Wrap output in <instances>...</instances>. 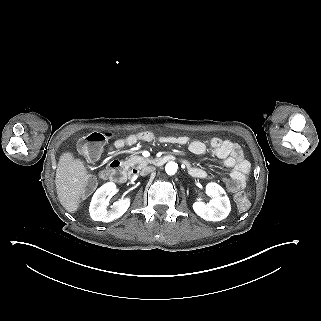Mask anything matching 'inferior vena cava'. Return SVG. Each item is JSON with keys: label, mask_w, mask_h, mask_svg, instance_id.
Segmentation results:
<instances>
[{"label": "inferior vena cava", "mask_w": 321, "mask_h": 321, "mask_svg": "<svg viewBox=\"0 0 321 321\" xmlns=\"http://www.w3.org/2000/svg\"><path fill=\"white\" fill-rule=\"evenodd\" d=\"M155 171V167L154 166H147V167H144L141 172H140V175L141 176H146L148 175L149 173Z\"/></svg>", "instance_id": "obj_1"}]
</instances>
